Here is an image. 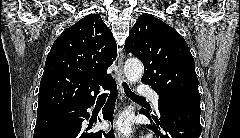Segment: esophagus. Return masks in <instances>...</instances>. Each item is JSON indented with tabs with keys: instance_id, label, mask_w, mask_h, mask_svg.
<instances>
[{
	"instance_id": "esophagus-1",
	"label": "esophagus",
	"mask_w": 240,
	"mask_h": 138,
	"mask_svg": "<svg viewBox=\"0 0 240 138\" xmlns=\"http://www.w3.org/2000/svg\"><path fill=\"white\" fill-rule=\"evenodd\" d=\"M123 60H124V54L122 53L118 59V65H117V74H116V81L119 91V99L123 101L125 99V92H124V85L125 83V77L123 74ZM117 137H120L119 134H117Z\"/></svg>"
}]
</instances>
